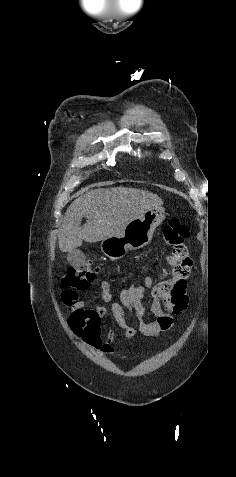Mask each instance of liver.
I'll list each match as a JSON object with an SVG mask.
<instances>
[{"label":"liver","mask_w":236,"mask_h":477,"mask_svg":"<svg viewBox=\"0 0 236 477\" xmlns=\"http://www.w3.org/2000/svg\"><path fill=\"white\" fill-rule=\"evenodd\" d=\"M162 204L158 195L137 188L91 190L68 207L59 229V249L71 252L83 241L94 243L118 236L132 220ZM83 217L87 221L81 227Z\"/></svg>","instance_id":"obj_1"}]
</instances>
